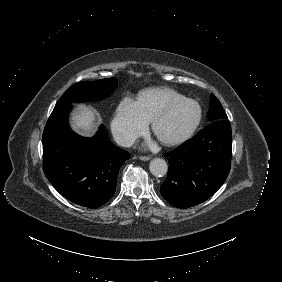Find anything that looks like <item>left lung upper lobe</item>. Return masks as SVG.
Masks as SVG:
<instances>
[{"mask_svg":"<svg viewBox=\"0 0 282 282\" xmlns=\"http://www.w3.org/2000/svg\"><path fill=\"white\" fill-rule=\"evenodd\" d=\"M223 119H227V115L223 110L219 100L213 94H211L210 108L208 110V120L212 122V121L223 120Z\"/></svg>","mask_w":282,"mask_h":282,"instance_id":"obj_1","label":"left lung upper lobe"}]
</instances>
